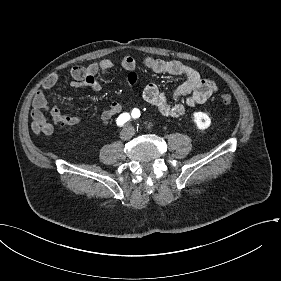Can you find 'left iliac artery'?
<instances>
[{"mask_svg": "<svg viewBox=\"0 0 281 281\" xmlns=\"http://www.w3.org/2000/svg\"><path fill=\"white\" fill-rule=\"evenodd\" d=\"M140 116V111L138 110V109H133V111H132V117L134 118V119H136V118H138Z\"/></svg>", "mask_w": 281, "mask_h": 281, "instance_id": "1", "label": "left iliac artery"}]
</instances>
